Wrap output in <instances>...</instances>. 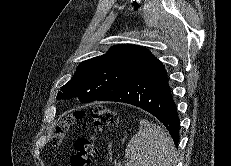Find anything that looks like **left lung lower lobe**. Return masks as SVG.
I'll list each match as a JSON object with an SVG mask.
<instances>
[{
  "label": "left lung lower lobe",
  "instance_id": "0a47b994",
  "mask_svg": "<svg viewBox=\"0 0 231 166\" xmlns=\"http://www.w3.org/2000/svg\"><path fill=\"white\" fill-rule=\"evenodd\" d=\"M97 101L128 103L151 113L168 129L174 143L179 142V118L163 64L156 59L129 80Z\"/></svg>",
  "mask_w": 231,
  "mask_h": 166
}]
</instances>
